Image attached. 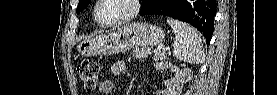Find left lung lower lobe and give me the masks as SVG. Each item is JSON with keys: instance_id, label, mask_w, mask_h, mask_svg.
I'll use <instances>...</instances> for the list:
<instances>
[{"instance_id": "0a47b994", "label": "left lung lower lobe", "mask_w": 277, "mask_h": 95, "mask_svg": "<svg viewBox=\"0 0 277 95\" xmlns=\"http://www.w3.org/2000/svg\"><path fill=\"white\" fill-rule=\"evenodd\" d=\"M217 0H151L140 14L167 15L190 23L206 38L209 44L214 30Z\"/></svg>"}]
</instances>
